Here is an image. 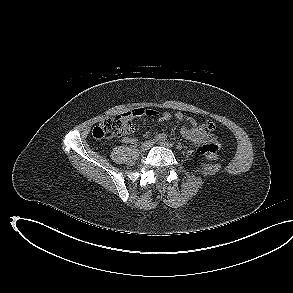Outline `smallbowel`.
<instances>
[{
  "label": "small bowel",
  "instance_id": "small-bowel-1",
  "mask_svg": "<svg viewBox=\"0 0 293 293\" xmlns=\"http://www.w3.org/2000/svg\"><path fill=\"white\" fill-rule=\"evenodd\" d=\"M155 116L157 112L152 109L137 108L132 111L126 112L123 116L126 118H134L139 116ZM172 115L169 112H163L159 115V121H169ZM175 118L178 121H186L189 124V127L183 126L181 129L182 136L195 145L200 151L205 148L210 151L217 152L220 148V144L213 134L214 124L211 121H207L204 124H199L193 118H185L182 113H176ZM123 142L127 144H136L137 139L135 137L125 136Z\"/></svg>",
  "mask_w": 293,
  "mask_h": 293
}]
</instances>
